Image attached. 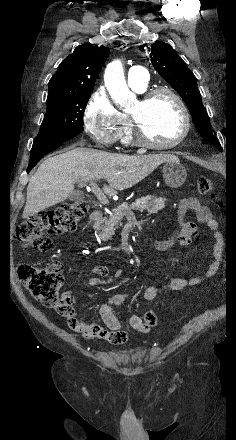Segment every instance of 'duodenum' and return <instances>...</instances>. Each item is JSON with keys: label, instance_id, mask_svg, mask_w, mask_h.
Returning <instances> with one entry per match:
<instances>
[{"label": "duodenum", "instance_id": "410a0bca", "mask_svg": "<svg viewBox=\"0 0 236 440\" xmlns=\"http://www.w3.org/2000/svg\"><path fill=\"white\" fill-rule=\"evenodd\" d=\"M103 217V212L100 209L93 210L89 216V224H95L100 221Z\"/></svg>", "mask_w": 236, "mask_h": 440}]
</instances>
